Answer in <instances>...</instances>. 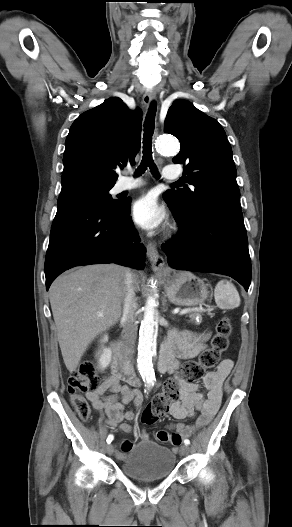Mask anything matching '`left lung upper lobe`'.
Segmentation results:
<instances>
[{"mask_svg":"<svg viewBox=\"0 0 292 527\" xmlns=\"http://www.w3.org/2000/svg\"><path fill=\"white\" fill-rule=\"evenodd\" d=\"M164 126L181 144L173 162L185 165L184 182L194 186L164 194L176 220L182 222L213 210L241 212L232 149L218 121L189 101L177 100L169 108Z\"/></svg>","mask_w":292,"mask_h":527,"instance_id":"5c2ea615","label":"left lung upper lobe"}]
</instances>
